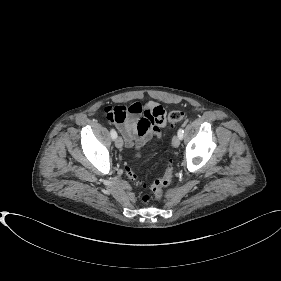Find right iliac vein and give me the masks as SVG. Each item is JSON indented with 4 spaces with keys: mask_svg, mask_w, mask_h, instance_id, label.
Segmentation results:
<instances>
[{
    "mask_svg": "<svg viewBox=\"0 0 281 281\" xmlns=\"http://www.w3.org/2000/svg\"><path fill=\"white\" fill-rule=\"evenodd\" d=\"M115 146L118 148V149H121L122 146H123V140L121 137H116L115 139Z\"/></svg>",
    "mask_w": 281,
    "mask_h": 281,
    "instance_id": "1",
    "label": "right iliac vein"
}]
</instances>
